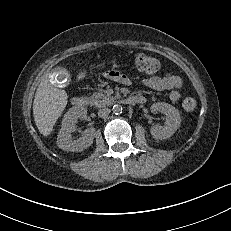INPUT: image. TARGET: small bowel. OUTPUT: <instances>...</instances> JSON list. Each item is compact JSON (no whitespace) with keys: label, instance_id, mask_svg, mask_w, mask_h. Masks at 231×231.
I'll use <instances>...</instances> for the list:
<instances>
[{"label":"small bowel","instance_id":"small-bowel-1","mask_svg":"<svg viewBox=\"0 0 231 231\" xmlns=\"http://www.w3.org/2000/svg\"><path fill=\"white\" fill-rule=\"evenodd\" d=\"M103 75L107 79L124 85H131L134 81L133 78L115 70H108ZM143 84L154 90H169V98L173 102L180 99V89L183 85L181 78L171 72L151 76L143 80Z\"/></svg>","mask_w":231,"mask_h":231}]
</instances>
